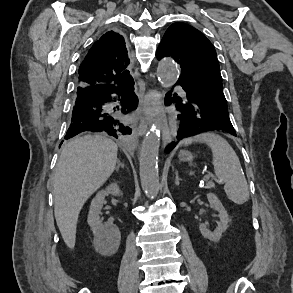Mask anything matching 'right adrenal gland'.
<instances>
[{
    "instance_id": "2a0ac1e0",
    "label": "right adrenal gland",
    "mask_w": 293,
    "mask_h": 293,
    "mask_svg": "<svg viewBox=\"0 0 293 293\" xmlns=\"http://www.w3.org/2000/svg\"><path fill=\"white\" fill-rule=\"evenodd\" d=\"M122 167L124 168V164L120 162V160H117V167H116V172L119 171V168Z\"/></svg>"
}]
</instances>
